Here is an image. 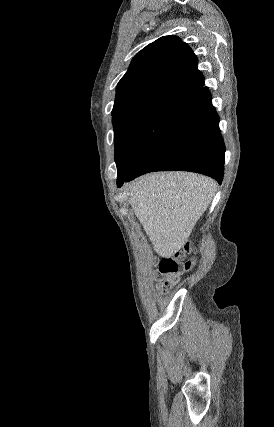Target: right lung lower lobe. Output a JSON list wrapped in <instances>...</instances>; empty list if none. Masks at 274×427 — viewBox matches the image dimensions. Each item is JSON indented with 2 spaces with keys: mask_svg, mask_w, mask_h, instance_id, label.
I'll return each instance as SVG.
<instances>
[{
  "mask_svg": "<svg viewBox=\"0 0 274 427\" xmlns=\"http://www.w3.org/2000/svg\"><path fill=\"white\" fill-rule=\"evenodd\" d=\"M224 142L207 87L171 108L129 166H117V186L152 171L201 173L221 184Z\"/></svg>",
  "mask_w": 274,
  "mask_h": 427,
  "instance_id": "obj_1",
  "label": "right lung lower lobe"
}]
</instances>
